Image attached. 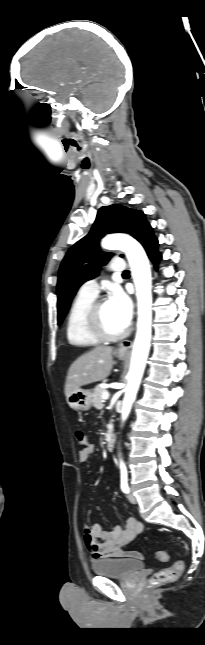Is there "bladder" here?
<instances>
[{
	"instance_id": "obj_1",
	"label": "bladder",
	"mask_w": 205,
	"mask_h": 645,
	"mask_svg": "<svg viewBox=\"0 0 205 645\" xmlns=\"http://www.w3.org/2000/svg\"><path fill=\"white\" fill-rule=\"evenodd\" d=\"M144 566L140 559L119 557L96 561L92 564V570L97 575L127 578L140 572Z\"/></svg>"
}]
</instances>
